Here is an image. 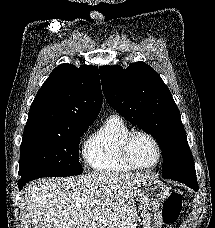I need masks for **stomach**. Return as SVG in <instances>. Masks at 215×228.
Returning <instances> with one entry per match:
<instances>
[{
  "label": "stomach",
  "instance_id": "obj_1",
  "mask_svg": "<svg viewBox=\"0 0 215 228\" xmlns=\"http://www.w3.org/2000/svg\"><path fill=\"white\" fill-rule=\"evenodd\" d=\"M170 192L168 186L155 178L138 184L135 196L142 208L143 228H163V202L170 196Z\"/></svg>",
  "mask_w": 215,
  "mask_h": 228
}]
</instances>
